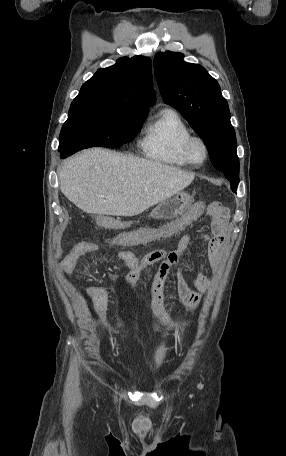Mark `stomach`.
I'll use <instances>...</instances> for the list:
<instances>
[{
	"instance_id": "obj_1",
	"label": "stomach",
	"mask_w": 286,
	"mask_h": 456,
	"mask_svg": "<svg viewBox=\"0 0 286 456\" xmlns=\"http://www.w3.org/2000/svg\"><path fill=\"white\" fill-rule=\"evenodd\" d=\"M192 197L188 193L178 192L160 202L150 213L155 219H172L182 215L191 205Z\"/></svg>"
}]
</instances>
